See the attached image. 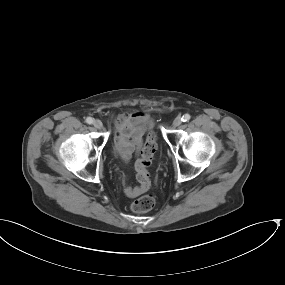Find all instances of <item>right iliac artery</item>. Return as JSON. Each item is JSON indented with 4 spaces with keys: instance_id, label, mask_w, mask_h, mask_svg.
<instances>
[{
    "instance_id": "1",
    "label": "right iliac artery",
    "mask_w": 285,
    "mask_h": 285,
    "mask_svg": "<svg viewBox=\"0 0 285 285\" xmlns=\"http://www.w3.org/2000/svg\"><path fill=\"white\" fill-rule=\"evenodd\" d=\"M86 122H87L88 124H92V123H93V119H92L91 117H87V118H86Z\"/></svg>"
}]
</instances>
